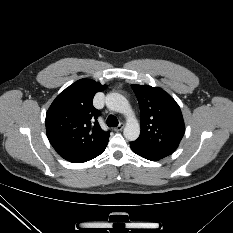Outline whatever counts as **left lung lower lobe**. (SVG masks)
Instances as JSON below:
<instances>
[{
	"instance_id": "1",
	"label": "left lung lower lobe",
	"mask_w": 233,
	"mask_h": 233,
	"mask_svg": "<svg viewBox=\"0 0 233 233\" xmlns=\"http://www.w3.org/2000/svg\"><path fill=\"white\" fill-rule=\"evenodd\" d=\"M130 147L136 154L151 161H158L167 156L162 153H158L151 149H148L137 141L131 142Z\"/></svg>"
}]
</instances>
